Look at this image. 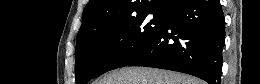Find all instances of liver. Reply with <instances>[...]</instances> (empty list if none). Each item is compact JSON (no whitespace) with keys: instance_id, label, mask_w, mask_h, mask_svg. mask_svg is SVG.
<instances>
[{"instance_id":"liver-1","label":"liver","mask_w":260,"mask_h":84,"mask_svg":"<svg viewBox=\"0 0 260 84\" xmlns=\"http://www.w3.org/2000/svg\"><path fill=\"white\" fill-rule=\"evenodd\" d=\"M95 84H205L183 73L150 67H124L105 75Z\"/></svg>"}]
</instances>
